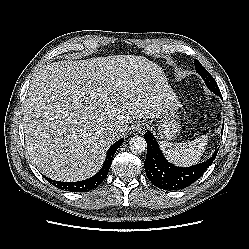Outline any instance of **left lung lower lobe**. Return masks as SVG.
<instances>
[{"instance_id":"0a47b994","label":"left lung lower lobe","mask_w":249,"mask_h":249,"mask_svg":"<svg viewBox=\"0 0 249 249\" xmlns=\"http://www.w3.org/2000/svg\"><path fill=\"white\" fill-rule=\"evenodd\" d=\"M218 96L222 98L221 94ZM144 138L147 142V155L144 162L146 175L155 186L164 190H179L190 186L203 175L218 153L217 150L203 163L191 167H177L165 159L152 133L147 132Z\"/></svg>"}]
</instances>
